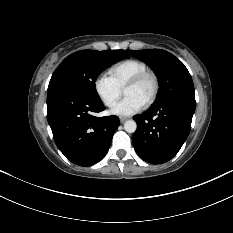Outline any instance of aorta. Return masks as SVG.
<instances>
[{
	"mask_svg": "<svg viewBox=\"0 0 233 233\" xmlns=\"http://www.w3.org/2000/svg\"><path fill=\"white\" fill-rule=\"evenodd\" d=\"M124 129L128 133H134L137 129V124L134 120H127L124 123Z\"/></svg>",
	"mask_w": 233,
	"mask_h": 233,
	"instance_id": "obj_1",
	"label": "aorta"
}]
</instances>
